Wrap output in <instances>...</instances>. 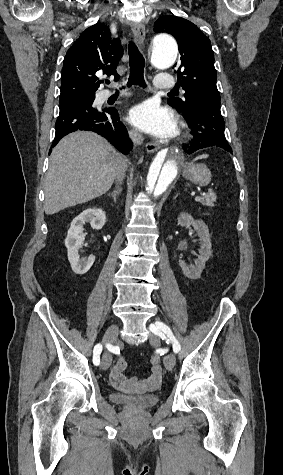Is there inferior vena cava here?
<instances>
[{"label":"inferior vena cava","instance_id":"inferior-vena-cava-1","mask_svg":"<svg viewBox=\"0 0 283 475\" xmlns=\"http://www.w3.org/2000/svg\"><path fill=\"white\" fill-rule=\"evenodd\" d=\"M133 144H135V146H140V144H143V136H141V134H138V132H130L129 134ZM126 168H127V160H122V162H120V166L118 168V172L116 174V182L117 184H122L124 178H125V172H126Z\"/></svg>","mask_w":283,"mask_h":475}]
</instances>
